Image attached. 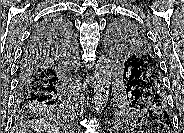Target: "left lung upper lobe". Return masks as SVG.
I'll use <instances>...</instances> for the list:
<instances>
[{"label": "left lung upper lobe", "mask_w": 184, "mask_h": 133, "mask_svg": "<svg viewBox=\"0 0 184 133\" xmlns=\"http://www.w3.org/2000/svg\"><path fill=\"white\" fill-rule=\"evenodd\" d=\"M109 49L113 58L115 85L113 104L117 115L127 116L137 122L147 121L149 108L136 94L132 80L137 72L144 79L162 82L160 67L154 51L141 31L127 21H117L109 33ZM167 109L169 105L166 100Z\"/></svg>", "instance_id": "left-lung-upper-lobe-1"}]
</instances>
